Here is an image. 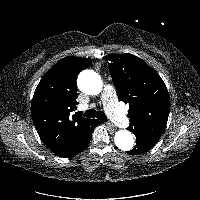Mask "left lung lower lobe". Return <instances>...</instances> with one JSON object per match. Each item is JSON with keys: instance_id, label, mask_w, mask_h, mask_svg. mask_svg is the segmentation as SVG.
<instances>
[{"instance_id": "1", "label": "left lung lower lobe", "mask_w": 200, "mask_h": 200, "mask_svg": "<svg viewBox=\"0 0 200 200\" xmlns=\"http://www.w3.org/2000/svg\"><path fill=\"white\" fill-rule=\"evenodd\" d=\"M155 144L148 140H136L135 147L129 152L130 154H142L149 151Z\"/></svg>"}]
</instances>
